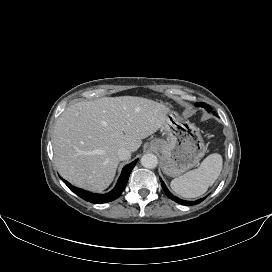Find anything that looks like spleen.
Instances as JSON below:
<instances>
[{"mask_svg": "<svg viewBox=\"0 0 272 272\" xmlns=\"http://www.w3.org/2000/svg\"><path fill=\"white\" fill-rule=\"evenodd\" d=\"M222 157L214 153L206 157L198 169H194L171 181L172 190L179 196L191 199L204 194L218 178L222 169Z\"/></svg>", "mask_w": 272, "mask_h": 272, "instance_id": "1", "label": "spleen"}]
</instances>
